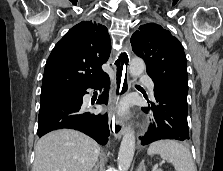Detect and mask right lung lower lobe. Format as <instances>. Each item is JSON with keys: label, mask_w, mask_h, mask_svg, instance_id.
Listing matches in <instances>:
<instances>
[{"label": "right lung lower lobe", "mask_w": 223, "mask_h": 171, "mask_svg": "<svg viewBox=\"0 0 223 171\" xmlns=\"http://www.w3.org/2000/svg\"><path fill=\"white\" fill-rule=\"evenodd\" d=\"M109 86L110 79L105 73L83 89L41 98L37 135L41 137L56 129L70 128L84 132L99 144H105L110 134L108 115L85 111L83 96L87 93V88L104 87V91L97 99V104H107Z\"/></svg>", "instance_id": "obj_1"}]
</instances>
